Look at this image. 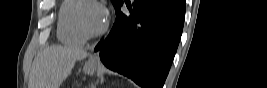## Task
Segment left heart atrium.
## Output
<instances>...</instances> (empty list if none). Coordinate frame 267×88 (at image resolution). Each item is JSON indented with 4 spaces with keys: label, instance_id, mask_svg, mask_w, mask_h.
I'll list each match as a JSON object with an SVG mask.
<instances>
[{
    "label": "left heart atrium",
    "instance_id": "obj_1",
    "mask_svg": "<svg viewBox=\"0 0 267 88\" xmlns=\"http://www.w3.org/2000/svg\"><path fill=\"white\" fill-rule=\"evenodd\" d=\"M98 8H99V11H100L101 15H103L105 17L104 9L102 7H100V6H98Z\"/></svg>",
    "mask_w": 267,
    "mask_h": 88
}]
</instances>
